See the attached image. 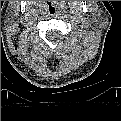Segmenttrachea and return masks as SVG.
<instances>
[{
  "instance_id": "trachea-1",
  "label": "trachea",
  "mask_w": 121,
  "mask_h": 121,
  "mask_svg": "<svg viewBox=\"0 0 121 121\" xmlns=\"http://www.w3.org/2000/svg\"><path fill=\"white\" fill-rule=\"evenodd\" d=\"M58 12V8L54 3H50L48 6V13L50 15H56Z\"/></svg>"
}]
</instances>
